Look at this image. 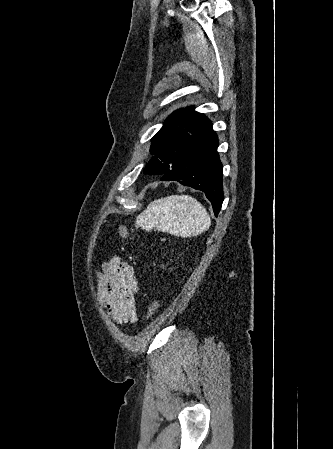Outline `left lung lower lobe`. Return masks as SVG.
<instances>
[{
    "mask_svg": "<svg viewBox=\"0 0 333 449\" xmlns=\"http://www.w3.org/2000/svg\"><path fill=\"white\" fill-rule=\"evenodd\" d=\"M218 139L209 119L197 135L185 161L161 177L162 181L176 180L205 193L211 202L215 216L218 215L224 199L222 185V163L217 152ZM155 167L152 159L145 168L150 174Z\"/></svg>",
    "mask_w": 333,
    "mask_h": 449,
    "instance_id": "1",
    "label": "left lung lower lobe"
}]
</instances>
